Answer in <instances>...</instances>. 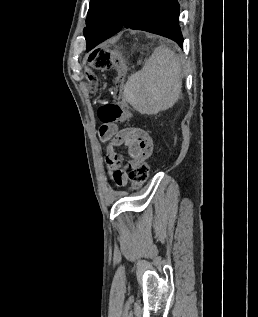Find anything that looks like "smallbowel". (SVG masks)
<instances>
[{
	"label": "small bowel",
	"mask_w": 258,
	"mask_h": 317,
	"mask_svg": "<svg viewBox=\"0 0 258 317\" xmlns=\"http://www.w3.org/2000/svg\"><path fill=\"white\" fill-rule=\"evenodd\" d=\"M99 136L105 144L104 161L112 181L118 186L127 183V171L148 159L153 153V140L141 128H125L118 130L114 123H102ZM122 147L129 158L125 161L122 153L116 148Z\"/></svg>",
	"instance_id": "1"
}]
</instances>
